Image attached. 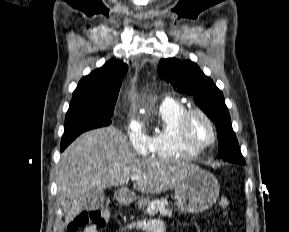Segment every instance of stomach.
Returning a JSON list of instances; mask_svg holds the SVG:
<instances>
[{
	"mask_svg": "<svg viewBox=\"0 0 289 232\" xmlns=\"http://www.w3.org/2000/svg\"><path fill=\"white\" fill-rule=\"evenodd\" d=\"M220 186L217 179L208 171L199 167H192L187 174L179 179L175 185V204L182 212L199 213L211 208L219 196ZM120 202L132 200L129 195H119ZM149 203L148 199L141 198L139 207Z\"/></svg>",
	"mask_w": 289,
	"mask_h": 232,
	"instance_id": "0dacf381",
	"label": "stomach"
}]
</instances>
